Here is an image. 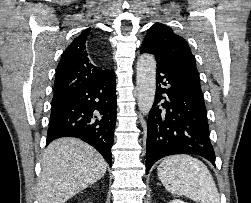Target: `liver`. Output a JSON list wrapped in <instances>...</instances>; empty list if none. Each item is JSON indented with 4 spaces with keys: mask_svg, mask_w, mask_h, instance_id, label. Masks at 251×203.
<instances>
[{
    "mask_svg": "<svg viewBox=\"0 0 251 203\" xmlns=\"http://www.w3.org/2000/svg\"><path fill=\"white\" fill-rule=\"evenodd\" d=\"M107 163L90 145L77 138H60L48 145L42 160L39 203H65L100 180Z\"/></svg>",
    "mask_w": 251,
    "mask_h": 203,
    "instance_id": "obj_1",
    "label": "liver"
}]
</instances>
